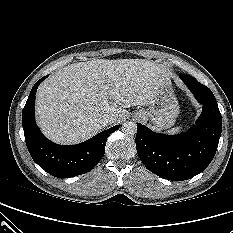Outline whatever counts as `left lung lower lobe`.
Here are the masks:
<instances>
[{"label": "left lung lower lobe", "mask_w": 233, "mask_h": 233, "mask_svg": "<svg viewBox=\"0 0 233 233\" xmlns=\"http://www.w3.org/2000/svg\"><path fill=\"white\" fill-rule=\"evenodd\" d=\"M203 105L196 124L185 133L169 136L155 133L137 123V153L154 174L172 181L190 179L210 164L222 131V117L212 91L194 77L180 74Z\"/></svg>", "instance_id": "obj_1"}]
</instances>
